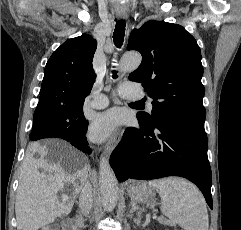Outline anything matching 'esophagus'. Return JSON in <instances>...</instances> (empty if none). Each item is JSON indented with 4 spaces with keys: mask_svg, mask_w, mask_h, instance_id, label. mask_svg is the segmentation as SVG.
Instances as JSON below:
<instances>
[{
    "mask_svg": "<svg viewBox=\"0 0 241 230\" xmlns=\"http://www.w3.org/2000/svg\"><path fill=\"white\" fill-rule=\"evenodd\" d=\"M117 16L119 19L127 18V14H125V13H119V14H117ZM120 137H121V131H118L110 138L109 142L105 146V153L107 155L110 154L113 151V149L116 147Z\"/></svg>",
    "mask_w": 241,
    "mask_h": 230,
    "instance_id": "esophagus-1",
    "label": "esophagus"
}]
</instances>
